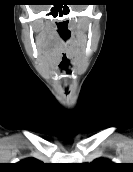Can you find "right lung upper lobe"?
Wrapping results in <instances>:
<instances>
[{
    "label": "right lung upper lobe",
    "instance_id": "cb5924a9",
    "mask_svg": "<svg viewBox=\"0 0 133 172\" xmlns=\"http://www.w3.org/2000/svg\"><path fill=\"white\" fill-rule=\"evenodd\" d=\"M43 163L35 158H27L16 164V168L25 172H36L40 170Z\"/></svg>",
    "mask_w": 133,
    "mask_h": 172
}]
</instances>
